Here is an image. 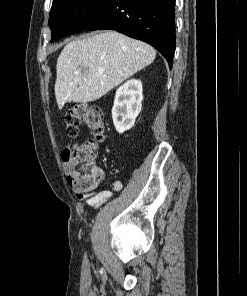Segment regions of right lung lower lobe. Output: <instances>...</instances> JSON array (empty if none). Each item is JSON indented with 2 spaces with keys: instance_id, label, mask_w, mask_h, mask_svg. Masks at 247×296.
Segmentation results:
<instances>
[{
  "instance_id": "right-lung-lower-lobe-1",
  "label": "right lung lower lobe",
  "mask_w": 247,
  "mask_h": 296,
  "mask_svg": "<svg viewBox=\"0 0 247 296\" xmlns=\"http://www.w3.org/2000/svg\"><path fill=\"white\" fill-rule=\"evenodd\" d=\"M175 0H103L86 29H112L155 47L172 67Z\"/></svg>"
}]
</instances>
